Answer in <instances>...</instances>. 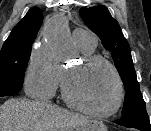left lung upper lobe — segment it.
Returning <instances> with one entry per match:
<instances>
[{
    "mask_svg": "<svg viewBox=\"0 0 151 131\" xmlns=\"http://www.w3.org/2000/svg\"><path fill=\"white\" fill-rule=\"evenodd\" d=\"M80 16L88 28L99 36L103 46L111 52L126 91L122 115L146 111V104L141 95L132 62L130 46L118 22L103 5L81 8Z\"/></svg>",
    "mask_w": 151,
    "mask_h": 131,
    "instance_id": "5c2ea615",
    "label": "left lung upper lobe"
}]
</instances>
